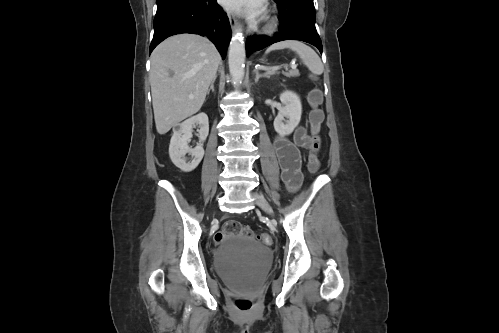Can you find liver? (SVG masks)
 Segmentation results:
<instances>
[{"mask_svg": "<svg viewBox=\"0 0 499 333\" xmlns=\"http://www.w3.org/2000/svg\"><path fill=\"white\" fill-rule=\"evenodd\" d=\"M219 63L213 43L195 34L174 35L154 49L149 78L160 135L201 109Z\"/></svg>", "mask_w": 499, "mask_h": 333, "instance_id": "obj_1", "label": "liver"}]
</instances>
